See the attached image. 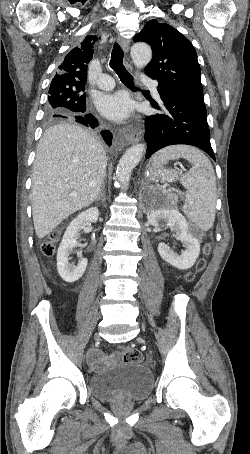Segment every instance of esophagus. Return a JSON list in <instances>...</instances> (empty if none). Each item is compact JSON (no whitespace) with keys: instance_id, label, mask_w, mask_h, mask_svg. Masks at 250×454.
<instances>
[{"instance_id":"esophagus-1","label":"esophagus","mask_w":250,"mask_h":454,"mask_svg":"<svg viewBox=\"0 0 250 454\" xmlns=\"http://www.w3.org/2000/svg\"><path fill=\"white\" fill-rule=\"evenodd\" d=\"M118 42L119 44L121 45V47L123 48L124 52L127 53L129 51V41L123 37H118ZM126 140L129 142V143H137L141 140V135L140 133L138 132V130L134 129V128H123L122 131H121Z\"/></svg>"}]
</instances>
